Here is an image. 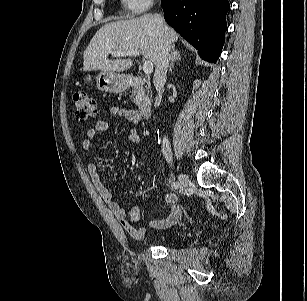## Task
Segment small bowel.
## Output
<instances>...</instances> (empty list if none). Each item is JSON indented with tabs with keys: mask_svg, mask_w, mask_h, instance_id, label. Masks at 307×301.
<instances>
[{
	"mask_svg": "<svg viewBox=\"0 0 307 301\" xmlns=\"http://www.w3.org/2000/svg\"><path fill=\"white\" fill-rule=\"evenodd\" d=\"M111 114L115 117L126 119L137 125L141 121V116L138 111L126 109L120 106H113L111 108ZM110 124L106 120H97L94 127L88 129L86 138L82 141L81 146L84 151H91L94 139L99 133H105L109 130ZM130 140L132 143L138 141V135L136 131H133ZM86 171L89 175L93 185L97 189L101 198L106 202L109 210L119 222L121 227L136 240L142 239L145 236L146 229L138 228L134 224L140 218V210L137 206H131L128 210H125L118 202L113 199V195L109 188L104 183L100 174L97 171L96 165L93 162H88L86 165ZM177 195L175 193H168L164 195L163 202L170 206L167 215L160 219L151 220L149 226L155 229H162L169 227L181 218V209L176 205Z\"/></svg>",
	"mask_w": 307,
	"mask_h": 301,
	"instance_id": "c3829d8e",
	"label": "small bowel"
}]
</instances>
